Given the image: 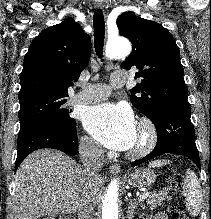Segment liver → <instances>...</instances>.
Listing matches in <instances>:
<instances>
[{
  "instance_id": "6515ba94",
  "label": "liver",
  "mask_w": 211,
  "mask_h": 219,
  "mask_svg": "<svg viewBox=\"0 0 211 219\" xmlns=\"http://www.w3.org/2000/svg\"><path fill=\"white\" fill-rule=\"evenodd\" d=\"M102 183L99 176L92 190L95 204ZM85 185L83 168L69 156L52 149L32 152L16 171L12 219L74 213Z\"/></svg>"
}]
</instances>
